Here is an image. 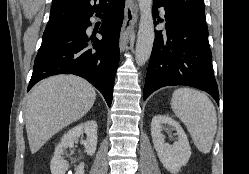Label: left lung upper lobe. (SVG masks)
<instances>
[{"label":"left lung upper lobe","mask_w":249,"mask_h":174,"mask_svg":"<svg viewBox=\"0 0 249 174\" xmlns=\"http://www.w3.org/2000/svg\"><path fill=\"white\" fill-rule=\"evenodd\" d=\"M164 1L178 14L195 22L206 24L203 0H158Z\"/></svg>","instance_id":"1"}]
</instances>
